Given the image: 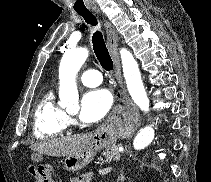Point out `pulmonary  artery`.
Instances as JSON below:
<instances>
[{
	"label": "pulmonary artery",
	"mask_w": 211,
	"mask_h": 182,
	"mask_svg": "<svg viewBox=\"0 0 211 182\" xmlns=\"http://www.w3.org/2000/svg\"><path fill=\"white\" fill-rule=\"evenodd\" d=\"M80 81L88 87H95L101 84L102 75L97 70H86L80 75Z\"/></svg>",
	"instance_id": "pulmonary-artery-1"
}]
</instances>
